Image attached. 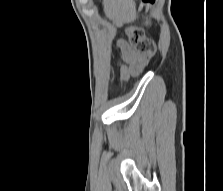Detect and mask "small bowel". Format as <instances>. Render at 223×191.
<instances>
[{
    "instance_id": "obj_1",
    "label": "small bowel",
    "mask_w": 223,
    "mask_h": 191,
    "mask_svg": "<svg viewBox=\"0 0 223 191\" xmlns=\"http://www.w3.org/2000/svg\"><path fill=\"white\" fill-rule=\"evenodd\" d=\"M117 44L121 58L126 63L121 69L122 78L127 79L130 76L139 74L146 64V57L134 51L123 39L118 40Z\"/></svg>"
}]
</instances>
